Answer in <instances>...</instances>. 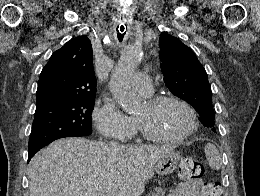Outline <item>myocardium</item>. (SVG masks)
<instances>
[{"mask_svg": "<svg viewBox=\"0 0 260 196\" xmlns=\"http://www.w3.org/2000/svg\"><path fill=\"white\" fill-rule=\"evenodd\" d=\"M176 102L183 105L191 114V125L190 127L181 135L169 136L160 134L157 132H152L141 122L135 118L136 125L140 130L141 134L147 137L150 140L157 142H171V143H181L187 141L198 129L199 127V118L196 109L187 101L176 95H161L155 96L146 101V105L150 109H156L166 103Z\"/></svg>", "mask_w": 260, "mask_h": 196, "instance_id": "obj_1", "label": "myocardium"}]
</instances>
